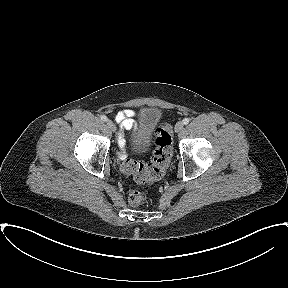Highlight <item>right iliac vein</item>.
<instances>
[{
  "label": "right iliac vein",
  "instance_id": "63e3f726",
  "mask_svg": "<svg viewBox=\"0 0 288 288\" xmlns=\"http://www.w3.org/2000/svg\"><path fill=\"white\" fill-rule=\"evenodd\" d=\"M107 125H108V127H109V129H110L111 131L114 132V131L116 130V126H115V124H114L113 121L107 120Z\"/></svg>",
  "mask_w": 288,
  "mask_h": 288
}]
</instances>
